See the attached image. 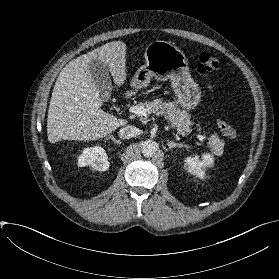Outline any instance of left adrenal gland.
<instances>
[{
  "label": "left adrenal gland",
  "mask_w": 279,
  "mask_h": 279,
  "mask_svg": "<svg viewBox=\"0 0 279 279\" xmlns=\"http://www.w3.org/2000/svg\"><path fill=\"white\" fill-rule=\"evenodd\" d=\"M167 145L169 147V149H173V148H188V146L186 144H183V143H175L174 141H167Z\"/></svg>",
  "instance_id": "1"
}]
</instances>
